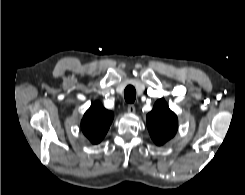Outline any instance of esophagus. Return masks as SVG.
<instances>
[{"instance_id": "esophagus-1", "label": "esophagus", "mask_w": 245, "mask_h": 195, "mask_svg": "<svg viewBox=\"0 0 245 195\" xmlns=\"http://www.w3.org/2000/svg\"><path fill=\"white\" fill-rule=\"evenodd\" d=\"M135 111H136V108H135V106L133 104L128 105V107H127V112L128 113L134 114Z\"/></svg>"}]
</instances>
